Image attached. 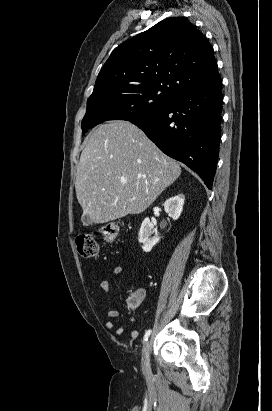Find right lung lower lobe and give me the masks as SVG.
Returning <instances> with one entry per match:
<instances>
[{
	"mask_svg": "<svg viewBox=\"0 0 272 411\" xmlns=\"http://www.w3.org/2000/svg\"><path fill=\"white\" fill-rule=\"evenodd\" d=\"M221 81L179 95L158 113L131 121L166 155L195 171L210 190L221 137Z\"/></svg>",
	"mask_w": 272,
	"mask_h": 411,
	"instance_id": "98d812e1",
	"label": "right lung lower lobe"
}]
</instances>
